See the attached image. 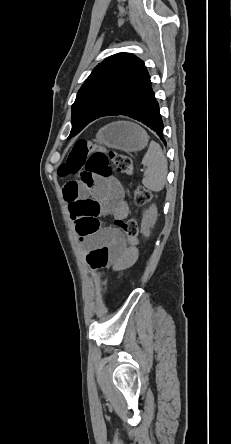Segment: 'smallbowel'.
I'll list each match as a JSON object with an SVG mask.
<instances>
[{"label": "small bowel", "mask_w": 231, "mask_h": 444, "mask_svg": "<svg viewBox=\"0 0 231 444\" xmlns=\"http://www.w3.org/2000/svg\"><path fill=\"white\" fill-rule=\"evenodd\" d=\"M63 195L71 217V207L86 199L96 202L98 215L113 217L117 226L129 213L123 187L114 178L97 177L90 186L70 181L64 186ZM81 240L87 247L86 260L94 269L123 270L132 266L138 257L137 248L126 247L122 234L111 227L102 228L89 237H81Z\"/></svg>", "instance_id": "c3829d8e"}]
</instances>
